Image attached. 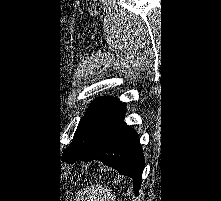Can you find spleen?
Segmentation results:
<instances>
[{
	"label": "spleen",
	"instance_id": "spleen-1",
	"mask_svg": "<svg viewBox=\"0 0 221 201\" xmlns=\"http://www.w3.org/2000/svg\"><path fill=\"white\" fill-rule=\"evenodd\" d=\"M76 201H115V197L110 189L91 185L84 192L76 195Z\"/></svg>",
	"mask_w": 221,
	"mask_h": 201
}]
</instances>
